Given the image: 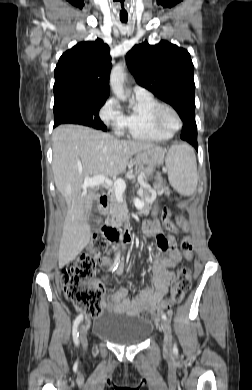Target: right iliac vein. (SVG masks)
I'll return each instance as SVG.
<instances>
[{
    "instance_id": "right-iliac-vein-1",
    "label": "right iliac vein",
    "mask_w": 252,
    "mask_h": 390,
    "mask_svg": "<svg viewBox=\"0 0 252 390\" xmlns=\"http://www.w3.org/2000/svg\"><path fill=\"white\" fill-rule=\"evenodd\" d=\"M87 333H88V327L85 324H81L79 328V335L81 343L84 347L87 346Z\"/></svg>"
}]
</instances>
